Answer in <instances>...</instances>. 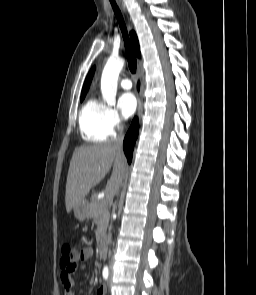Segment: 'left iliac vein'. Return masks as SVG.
Instances as JSON below:
<instances>
[{"label":"left iliac vein","mask_w":256,"mask_h":295,"mask_svg":"<svg viewBox=\"0 0 256 295\" xmlns=\"http://www.w3.org/2000/svg\"><path fill=\"white\" fill-rule=\"evenodd\" d=\"M112 285V273H110L109 279H108V286Z\"/></svg>","instance_id":"obj_1"}]
</instances>
